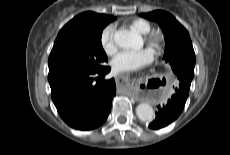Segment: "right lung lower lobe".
Masks as SVG:
<instances>
[{"label":"right lung lower lobe","mask_w":230,"mask_h":155,"mask_svg":"<svg viewBox=\"0 0 230 155\" xmlns=\"http://www.w3.org/2000/svg\"><path fill=\"white\" fill-rule=\"evenodd\" d=\"M109 71L110 67L104 66L97 71H66L48 75L52 100L69 126L91 130L107 119L116 93L114 79H101Z\"/></svg>","instance_id":"right-lung-lower-lobe-1"}]
</instances>
